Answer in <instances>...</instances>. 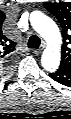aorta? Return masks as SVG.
Segmentation results:
<instances>
[{"label": "aorta", "instance_id": "1", "mask_svg": "<svg viewBox=\"0 0 71 119\" xmlns=\"http://www.w3.org/2000/svg\"><path fill=\"white\" fill-rule=\"evenodd\" d=\"M30 22L34 30L45 39L48 45L41 58L43 68L49 72L56 71L61 60L59 49L62 43L58 26L51 18L39 11L31 14Z\"/></svg>", "mask_w": 71, "mask_h": 119}]
</instances>
